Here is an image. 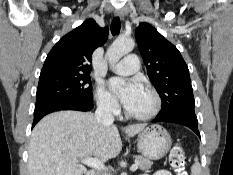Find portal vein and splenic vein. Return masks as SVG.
I'll use <instances>...</instances> for the list:
<instances>
[{
  "label": "portal vein and splenic vein",
  "instance_id": "obj_1",
  "mask_svg": "<svg viewBox=\"0 0 233 175\" xmlns=\"http://www.w3.org/2000/svg\"><path fill=\"white\" fill-rule=\"evenodd\" d=\"M81 163L87 165V166H90L96 170H103L105 167L103 165V163L101 161H99L97 158H91V157H88V158H82L81 159ZM138 168V163L135 162L131 167H130V170L131 171H135L137 170Z\"/></svg>",
  "mask_w": 233,
  "mask_h": 175
}]
</instances>
